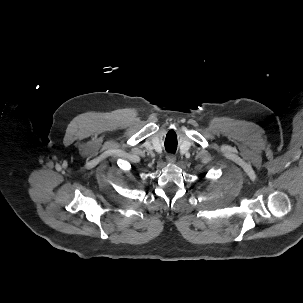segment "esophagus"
<instances>
[{"label": "esophagus", "mask_w": 303, "mask_h": 303, "mask_svg": "<svg viewBox=\"0 0 303 303\" xmlns=\"http://www.w3.org/2000/svg\"><path fill=\"white\" fill-rule=\"evenodd\" d=\"M167 160L170 163H175L176 162V156L174 154H168L167 155Z\"/></svg>", "instance_id": "34e87169"}]
</instances>
